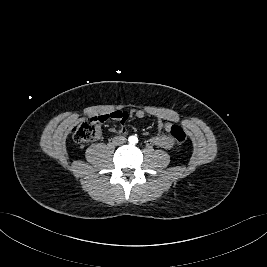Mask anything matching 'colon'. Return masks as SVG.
Returning <instances> with one entry per match:
<instances>
[{"label": "colon", "mask_w": 267, "mask_h": 267, "mask_svg": "<svg viewBox=\"0 0 267 267\" xmlns=\"http://www.w3.org/2000/svg\"><path fill=\"white\" fill-rule=\"evenodd\" d=\"M117 117L121 121L127 119L126 114L123 112H118ZM107 119H110V117L106 115L84 119L72 128V140L77 144H84L95 140L100 135L102 124ZM170 134L178 144H184L187 141V134L179 125L173 124L170 128Z\"/></svg>", "instance_id": "5ec220e1"}]
</instances>
